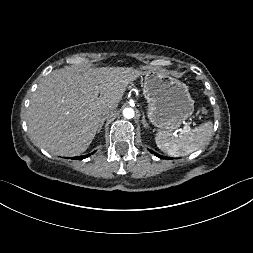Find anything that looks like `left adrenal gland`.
Listing matches in <instances>:
<instances>
[{
	"label": "left adrenal gland",
	"instance_id": "a2214340",
	"mask_svg": "<svg viewBox=\"0 0 253 253\" xmlns=\"http://www.w3.org/2000/svg\"><path fill=\"white\" fill-rule=\"evenodd\" d=\"M142 124L144 125L145 128L148 127V123H147L146 120H145V115H144V113H143V115H142Z\"/></svg>",
	"mask_w": 253,
	"mask_h": 253
}]
</instances>
